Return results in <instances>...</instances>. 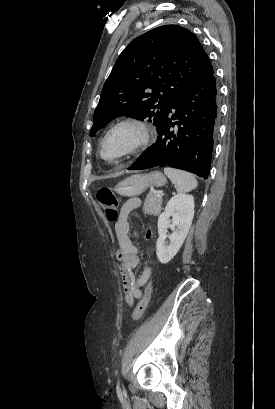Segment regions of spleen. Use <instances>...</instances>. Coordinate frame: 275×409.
<instances>
[{"instance_id":"1","label":"spleen","mask_w":275,"mask_h":409,"mask_svg":"<svg viewBox=\"0 0 275 409\" xmlns=\"http://www.w3.org/2000/svg\"><path fill=\"white\" fill-rule=\"evenodd\" d=\"M164 172L173 184H177V192H189L197 186V180L194 174L185 172V170H177V168H164Z\"/></svg>"}]
</instances>
